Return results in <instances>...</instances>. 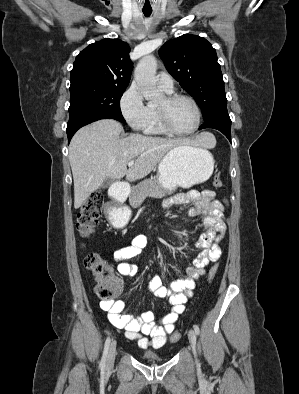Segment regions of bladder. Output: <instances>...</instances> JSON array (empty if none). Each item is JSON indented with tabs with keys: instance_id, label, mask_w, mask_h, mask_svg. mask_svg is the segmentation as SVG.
Masks as SVG:
<instances>
[{
	"instance_id": "31cf9c89",
	"label": "bladder",
	"mask_w": 299,
	"mask_h": 394,
	"mask_svg": "<svg viewBox=\"0 0 299 394\" xmlns=\"http://www.w3.org/2000/svg\"><path fill=\"white\" fill-rule=\"evenodd\" d=\"M141 358L147 363H160L163 361V358L154 352H145L142 354Z\"/></svg>"
}]
</instances>
